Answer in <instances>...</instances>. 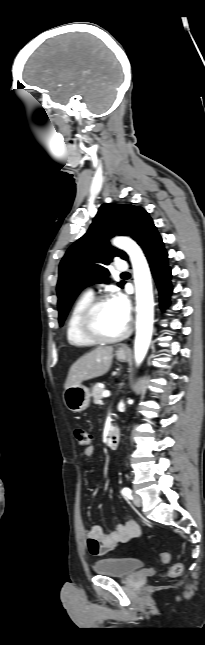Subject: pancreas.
<instances>
[{"label": "pancreas", "mask_w": 205, "mask_h": 645, "mask_svg": "<svg viewBox=\"0 0 205 645\" xmlns=\"http://www.w3.org/2000/svg\"><path fill=\"white\" fill-rule=\"evenodd\" d=\"M104 388H101L99 384H95L92 388V397L93 401L95 404H101L102 403V398H103V393Z\"/></svg>", "instance_id": "cf45deb5"}]
</instances>
